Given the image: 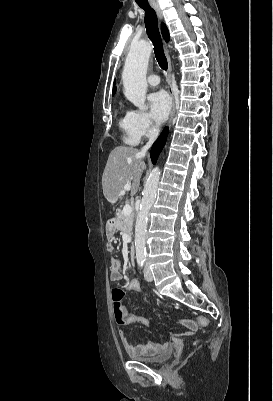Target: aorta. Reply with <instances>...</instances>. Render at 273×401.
<instances>
[{"label":"aorta","instance_id":"762f6f07","mask_svg":"<svg viewBox=\"0 0 273 401\" xmlns=\"http://www.w3.org/2000/svg\"><path fill=\"white\" fill-rule=\"evenodd\" d=\"M151 51L152 46L147 41H141L132 45L122 73L124 94L133 105L140 109L146 107V72ZM160 174V169L155 167L150 172L144 185V193L135 224V251L137 259H145L146 257L145 246L148 216L157 195Z\"/></svg>","mask_w":273,"mask_h":401}]
</instances>
